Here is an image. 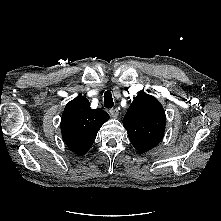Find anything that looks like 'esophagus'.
Listing matches in <instances>:
<instances>
[{"mask_svg":"<svg viewBox=\"0 0 221 221\" xmlns=\"http://www.w3.org/2000/svg\"><path fill=\"white\" fill-rule=\"evenodd\" d=\"M109 113H110V115H111L113 118H117L118 115H119V111H118L117 108L111 109V110L109 111Z\"/></svg>","mask_w":221,"mask_h":221,"instance_id":"34e87169","label":"esophagus"}]
</instances>
